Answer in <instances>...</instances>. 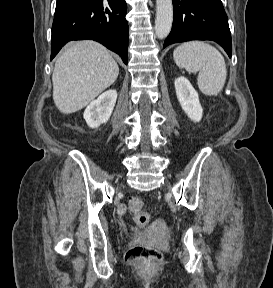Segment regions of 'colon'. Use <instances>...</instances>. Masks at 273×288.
<instances>
[{"mask_svg": "<svg viewBox=\"0 0 273 288\" xmlns=\"http://www.w3.org/2000/svg\"><path fill=\"white\" fill-rule=\"evenodd\" d=\"M129 211L138 225L146 226L149 224L150 215L144 210V202L140 197L130 199ZM125 259L127 261L141 260L147 265H155L161 260V253L155 248L136 244L126 252Z\"/></svg>", "mask_w": 273, "mask_h": 288, "instance_id": "obj_1", "label": "colon"}]
</instances>
